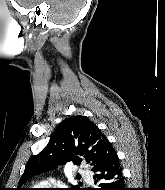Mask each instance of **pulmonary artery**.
<instances>
[{
    "instance_id": "1",
    "label": "pulmonary artery",
    "mask_w": 165,
    "mask_h": 190,
    "mask_svg": "<svg viewBox=\"0 0 165 190\" xmlns=\"http://www.w3.org/2000/svg\"><path fill=\"white\" fill-rule=\"evenodd\" d=\"M79 173H80V175H81L82 177H84L86 180H88V181H91V180H92V179H91V176H90V174H89V172H88L87 170L80 169V170H79Z\"/></svg>"
}]
</instances>
